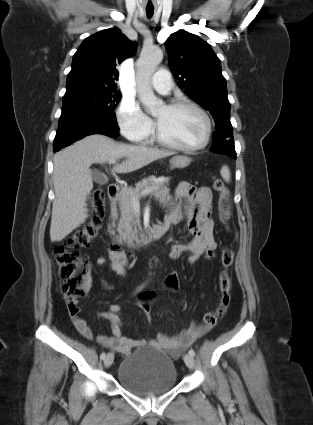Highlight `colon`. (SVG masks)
<instances>
[{
    "instance_id": "1",
    "label": "colon",
    "mask_w": 313,
    "mask_h": 425,
    "mask_svg": "<svg viewBox=\"0 0 313 425\" xmlns=\"http://www.w3.org/2000/svg\"><path fill=\"white\" fill-rule=\"evenodd\" d=\"M214 189L219 194V211L224 215L228 208L229 190L219 178L214 179ZM91 199L93 206L92 217L54 249L58 273L62 279V292L68 300L67 304L71 308H75L77 306V299L86 293V286L90 277L89 261L81 255L80 251L88 247L98 236L104 215L103 190L96 188L91 194ZM205 256L208 259H213L214 249L209 248L205 252ZM233 258V251L230 248L225 247L222 249V269L218 277L220 301L217 308L207 312L203 319L204 324L210 328L217 324L230 305L232 281L228 270L233 263ZM181 286L182 281L177 273H172L165 281L166 289L172 293L179 292ZM151 296V293H147L140 297L142 308L147 317H149L151 312V306L147 300Z\"/></svg>"
}]
</instances>
